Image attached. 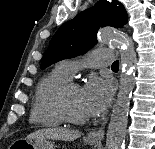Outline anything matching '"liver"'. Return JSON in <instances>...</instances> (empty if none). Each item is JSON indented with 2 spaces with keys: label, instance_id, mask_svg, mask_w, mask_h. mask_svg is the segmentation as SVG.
I'll return each instance as SVG.
<instances>
[{
  "label": "liver",
  "instance_id": "liver-1",
  "mask_svg": "<svg viewBox=\"0 0 155 149\" xmlns=\"http://www.w3.org/2000/svg\"><path fill=\"white\" fill-rule=\"evenodd\" d=\"M81 136L79 131L61 127L39 129L27 136L26 139L47 138L61 141H74Z\"/></svg>",
  "mask_w": 155,
  "mask_h": 149
}]
</instances>
